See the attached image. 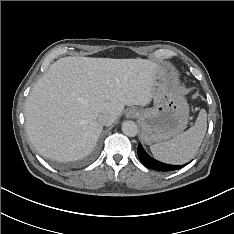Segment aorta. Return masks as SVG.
Instances as JSON below:
<instances>
[{"mask_svg":"<svg viewBox=\"0 0 234 234\" xmlns=\"http://www.w3.org/2000/svg\"><path fill=\"white\" fill-rule=\"evenodd\" d=\"M122 132L129 137L136 136L138 133L137 124L133 121H124L122 124Z\"/></svg>","mask_w":234,"mask_h":234,"instance_id":"obj_1","label":"aorta"}]
</instances>
